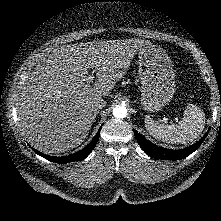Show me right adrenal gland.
Listing matches in <instances>:
<instances>
[{
    "mask_svg": "<svg viewBox=\"0 0 221 221\" xmlns=\"http://www.w3.org/2000/svg\"><path fill=\"white\" fill-rule=\"evenodd\" d=\"M97 114H98V111L97 110L94 111V113H93V122L95 121V118H96Z\"/></svg>",
    "mask_w": 221,
    "mask_h": 221,
    "instance_id": "2a0ac1e0",
    "label": "right adrenal gland"
}]
</instances>
